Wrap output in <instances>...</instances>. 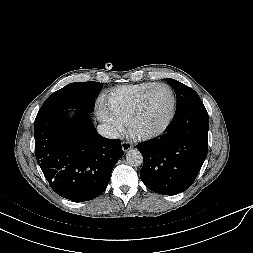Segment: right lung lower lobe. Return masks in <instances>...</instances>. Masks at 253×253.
Wrapping results in <instances>:
<instances>
[{"instance_id": "98d812e1", "label": "right lung lower lobe", "mask_w": 253, "mask_h": 253, "mask_svg": "<svg viewBox=\"0 0 253 253\" xmlns=\"http://www.w3.org/2000/svg\"><path fill=\"white\" fill-rule=\"evenodd\" d=\"M67 109L47 108L34 123L35 155L51 188L61 197L82 202L107 187L116 162L123 156L118 139H106L94 129L87 111L72 119Z\"/></svg>"}]
</instances>
